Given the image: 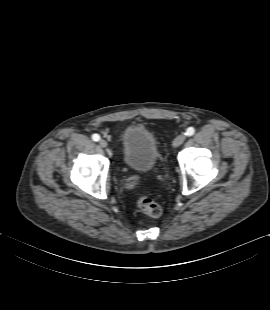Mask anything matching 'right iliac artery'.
<instances>
[{"label":"right iliac artery","mask_w":270,"mask_h":310,"mask_svg":"<svg viewBox=\"0 0 270 310\" xmlns=\"http://www.w3.org/2000/svg\"><path fill=\"white\" fill-rule=\"evenodd\" d=\"M92 139H93L94 141H99V140H100V136H99L98 134H93V135H92Z\"/></svg>","instance_id":"82829eb1"}]
</instances>
